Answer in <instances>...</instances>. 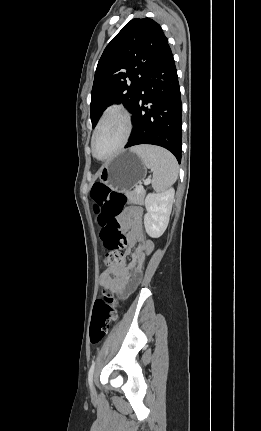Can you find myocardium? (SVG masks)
<instances>
[{"instance_id":"1","label":"myocardium","mask_w":261,"mask_h":431,"mask_svg":"<svg viewBox=\"0 0 261 431\" xmlns=\"http://www.w3.org/2000/svg\"><path fill=\"white\" fill-rule=\"evenodd\" d=\"M118 116L121 118V120L124 123V135L123 138L120 142V144L117 146V148L108 156L100 158L95 154V149H94V145H95V139L97 136L98 131L100 130V128L102 127V125L106 122V120L111 117V116ZM132 118L131 115L128 111H126L125 109L121 108V107H111L109 109H107L101 116V118L99 119L93 134H92V138H91V151L93 156L101 161H105L108 159H111L113 157H115L117 154H119L123 148L126 146V144L128 143V140L130 138L131 132H132Z\"/></svg>"}]
</instances>
